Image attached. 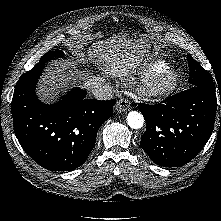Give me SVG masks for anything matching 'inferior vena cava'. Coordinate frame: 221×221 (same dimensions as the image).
Masks as SVG:
<instances>
[{"instance_id": "602c4592", "label": "inferior vena cava", "mask_w": 221, "mask_h": 221, "mask_svg": "<svg viewBox=\"0 0 221 221\" xmlns=\"http://www.w3.org/2000/svg\"><path fill=\"white\" fill-rule=\"evenodd\" d=\"M114 92V87L110 84H103L92 89L93 96L98 100L112 99Z\"/></svg>"}]
</instances>
